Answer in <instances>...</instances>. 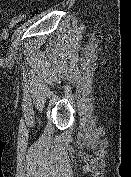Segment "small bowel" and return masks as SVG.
<instances>
[{"label":"small bowel","instance_id":"1","mask_svg":"<svg viewBox=\"0 0 131 177\" xmlns=\"http://www.w3.org/2000/svg\"><path fill=\"white\" fill-rule=\"evenodd\" d=\"M3 0H0V3L2 2ZM30 2H33V3H39L41 2L42 0H29Z\"/></svg>","mask_w":131,"mask_h":177}]
</instances>
